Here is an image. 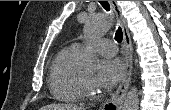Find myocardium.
Returning <instances> with one entry per match:
<instances>
[{
	"instance_id": "1",
	"label": "myocardium",
	"mask_w": 171,
	"mask_h": 110,
	"mask_svg": "<svg viewBox=\"0 0 171 110\" xmlns=\"http://www.w3.org/2000/svg\"><path fill=\"white\" fill-rule=\"evenodd\" d=\"M77 85H78V88H79V90H80V92L84 98L95 99L98 97L96 90L92 86L87 84L82 79L80 74L77 75Z\"/></svg>"
}]
</instances>
